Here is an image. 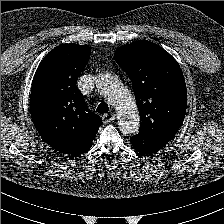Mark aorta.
Wrapping results in <instances>:
<instances>
[{
    "mask_svg": "<svg viewBox=\"0 0 224 224\" xmlns=\"http://www.w3.org/2000/svg\"><path fill=\"white\" fill-rule=\"evenodd\" d=\"M97 86L115 108L118 114V125L124 135H134L140 126L137 105L131 93L118 78L112 74H101Z\"/></svg>",
    "mask_w": 224,
    "mask_h": 224,
    "instance_id": "762f6f07",
    "label": "aorta"
}]
</instances>
